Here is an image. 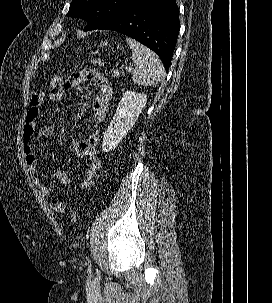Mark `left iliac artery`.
Segmentation results:
<instances>
[{
    "label": "left iliac artery",
    "mask_w": 272,
    "mask_h": 303,
    "mask_svg": "<svg viewBox=\"0 0 272 303\" xmlns=\"http://www.w3.org/2000/svg\"><path fill=\"white\" fill-rule=\"evenodd\" d=\"M88 271H91V260H88Z\"/></svg>",
    "instance_id": "obj_1"
}]
</instances>
